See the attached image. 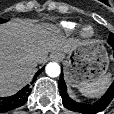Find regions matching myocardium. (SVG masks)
<instances>
[{
  "label": "myocardium",
  "instance_id": "1",
  "mask_svg": "<svg viewBox=\"0 0 114 114\" xmlns=\"http://www.w3.org/2000/svg\"><path fill=\"white\" fill-rule=\"evenodd\" d=\"M82 33L84 36H91L93 34V30L91 27H85L83 30H82Z\"/></svg>",
  "mask_w": 114,
  "mask_h": 114
}]
</instances>
